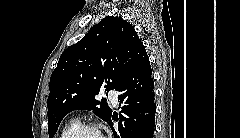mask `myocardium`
<instances>
[{"mask_svg":"<svg viewBox=\"0 0 240 138\" xmlns=\"http://www.w3.org/2000/svg\"><path fill=\"white\" fill-rule=\"evenodd\" d=\"M88 130H93L99 132L101 135H103L100 127L93 123H83L78 125L68 136V138H79V136Z\"/></svg>","mask_w":240,"mask_h":138,"instance_id":"f54148a6","label":"myocardium"}]
</instances>
